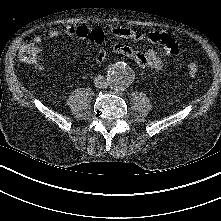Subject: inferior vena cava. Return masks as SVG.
<instances>
[{"label":"inferior vena cava","mask_w":221,"mask_h":221,"mask_svg":"<svg viewBox=\"0 0 221 221\" xmlns=\"http://www.w3.org/2000/svg\"><path fill=\"white\" fill-rule=\"evenodd\" d=\"M94 85L98 88H106L108 86V82L104 76L99 75L94 79Z\"/></svg>","instance_id":"obj_1"}]
</instances>
